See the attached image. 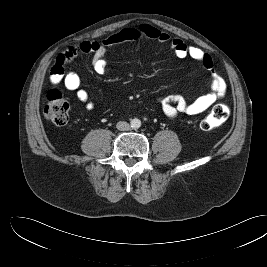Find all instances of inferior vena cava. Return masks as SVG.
<instances>
[{
  "label": "inferior vena cava",
  "instance_id": "inferior-vena-cava-1",
  "mask_svg": "<svg viewBox=\"0 0 267 267\" xmlns=\"http://www.w3.org/2000/svg\"><path fill=\"white\" fill-rule=\"evenodd\" d=\"M116 128L120 131H128L130 129V125L125 121H119L116 124Z\"/></svg>",
  "mask_w": 267,
  "mask_h": 267
}]
</instances>
